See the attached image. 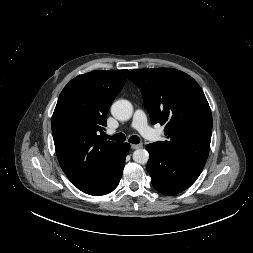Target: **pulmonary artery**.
Returning <instances> with one entry per match:
<instances>
[{"label":"pulmonary artery","mask_w":253,"mask_h":253,"mask_svg":"<svg viewBox=\"0 0 253 253\" xmlns=\"http://www.w3.org/2000/svg\"><path fill=\"white\" fill-rule=\"evenodd\" d=\"M131 125L149 140L160 139L159 134L148 125L146 114L141 109L135 111ZM109 132L112 133L113 131L110 130Z\"/></svg>","instance_id":"pulmonary-artery-1"}]
</instances>
